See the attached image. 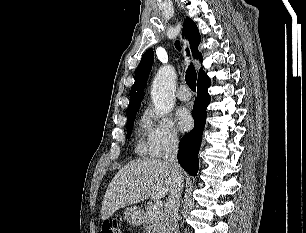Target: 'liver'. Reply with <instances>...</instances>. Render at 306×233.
<instances>
[{"instance_id": "1", "label": "liver", "mask_w": 306, "mask_h": 233, "mask_svg": "<svg viewBox=\"0 0 306 233\" xmlns=\"http://www.w3.org/2000/svg\"><path fill=\"white\" fill-rule=\"evenodd\" d=\"M172 173L163 160L143 158L121 168L110 182L101 207L102 220L120 208L148 199L164 198L170 191Z\"/></svg>"}]
</instances>
